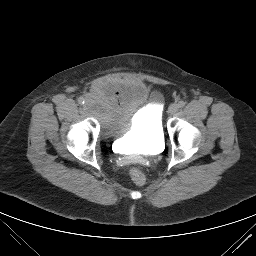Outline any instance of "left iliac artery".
Wrapping results in <instances>:
<instances>
[{
    "label": "left iliac artery",
    "mask_w": 256,
    "mask_h": 256,
    "mask_svg": "<svg viewBox=\"0 0 256 256\" xmlns=\"http://www.w3.org/2000/svg\"><path fill=\"white\" fill-rule=\"evenodd\" d=\"M185 102L184 101H179V103H178V106L180 107V108H182V107H184L185 106Z\"/></svg>",
    "instance_id": "left-iliac-artery-1"
}]
</instances>
